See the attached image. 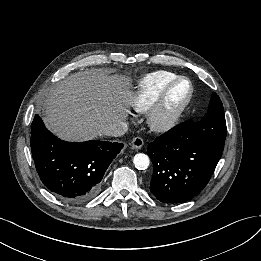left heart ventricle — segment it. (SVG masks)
Listing matches in <instances>:
<instances>
[{"instance_id":"obj_1","label":"left heart ventricle","mask_w":261,"mask_h":261,"mask_svg":"<svg viewBox=\"0 0 261 261\" xmlns=\"http://www.w3.org/2000/svg\"><path fill=\"white\" fill-rule=\"evenodd\" d=\"M189 85L186 81H181L177 84V86L173 89L169 101H168V110L172 111L177 106H179L185 97L188 94Z\"/></svg>"}]
</instances>
